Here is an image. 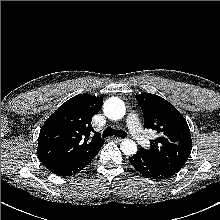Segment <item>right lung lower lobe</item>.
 Instances as JSON below:
<instances>
[{
    "instance_id": "obj_1",
    "label": "right lung lower lobe",
    "mask_w": 220,
    "mask_h": 220,
    "mask_svg": "<svg viewBox=\"0 0 220 220\" xmlns=\"http://www.w3.org/2000/svg\"><path fill=\"white\" fill-rule=\"evenodd\" d=\"M100 148L101 147L93 150L90 154H88L82 158H79V159L74 160L72 162L60 165L52 172H54L55 174L61 175V176H69L72 173H77L81 169H83L90 161H92V159L99 152Z\"/></svg>"
}]
</instances>
